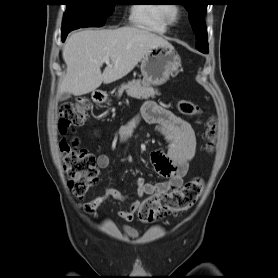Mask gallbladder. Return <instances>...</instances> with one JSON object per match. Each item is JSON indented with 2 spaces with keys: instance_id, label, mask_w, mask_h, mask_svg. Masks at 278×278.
<instances>
[{
  "instance_id": "gallbladder-1",
  "label": "gallbladder",
  "mask_w": 278,
  "mask_h": 278,
  "mask_svg": "<svg viewBox=\"0 0 278 278\" xmlns=\"http://www.w3.org/2000/svg\"><path fill=\"white\" fill-rule=\"evenodd\" d=\"M71 97V94L68 93V92H64L62 93L60 96H59V100L60 101H64V100H67Z\"/></svg>"
}]
</instances>
